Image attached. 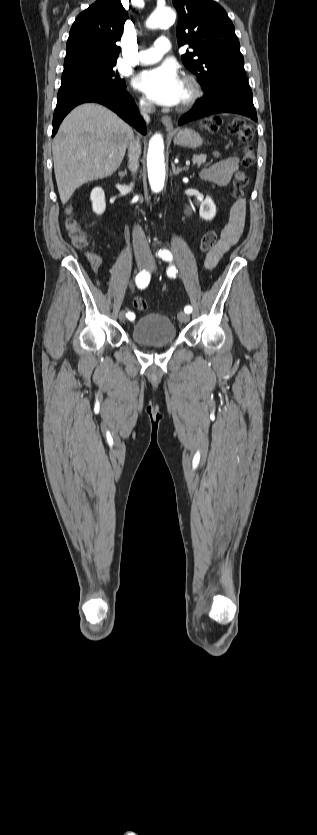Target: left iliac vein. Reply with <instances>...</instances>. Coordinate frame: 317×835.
Here are the masks:
<instances>
[{"mask_svg": "<svg viewBox=\"0 0 317 835\" xmlns=\"http://www.w3.org/2000/svg\"><path fill=\"white\" fill-rule=\"evenodd\" d=\"M148 267H149L150 269H153V268L155 267V264H154V261H153V260H151V261H150V263H149V266H148ZM178 319H179V321H180V322H182V323H187V322L190 320V316H189V314H188V313H186V312H179V313H178Z\"/></svg>", "mask_w": 317, "mask_h": 835, "instance_id": "1", "label": "left iliac vein"}]
</instances>
